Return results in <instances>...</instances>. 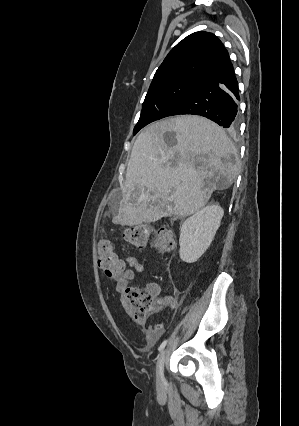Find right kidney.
<instances>
[{"mask_svg":"<svg viewBox=\"0 0 299 426\" xmlns=\"http://www.w3.org/2000/svg\"><path fill=\"white\" fill-rule=\"evenodd\" d=\"M224 210L217 204L208 205L187 218L180 228V258L196 262L210 246L220 226Z\"/></svg>","mask_w":299,"mask_h":426,"instance_id":"ca27d5eb","label":"right kidney"}]
</instances>
